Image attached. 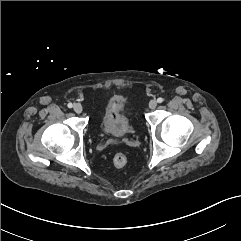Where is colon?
<instances>
[{"mask_svg":"<svg viewBox=\"0 0 241 241\" xmlns=\"http://www.w3.org/2000/svg\"><path fill=\"white\" fill-rule=\"evenodd\" d=\"M116 167L122 168L127 164V157L123 153H117L113 158Z\"/></svg>","mask_w":241,"mask_h":241,"instance_id":"colon-1","label":"colon"}]
</instances>
